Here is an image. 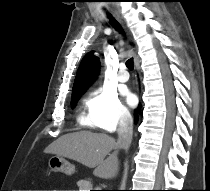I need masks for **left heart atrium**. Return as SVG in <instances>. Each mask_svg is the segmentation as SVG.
Returning <instances> with one entry per match:
<instances>
[{"instance_id": "left-heart-atrium-1", "label": "left heart atrium", "mask_w": 210, "mask_h": 191, "mask_svg": "<svg viewBox=\"0 0 210 191\" xmlns=\"http://www.w3.org/2000/svg\"><path fill=\"white\" fill-rule=\"evenodd\" d=\"M124 96H125V99H126L127 103L130 106H133L136 103L135 95L130 93L129 91H124Z\"/></svg>"}]
</instances>
